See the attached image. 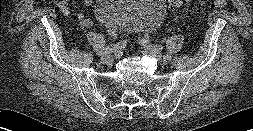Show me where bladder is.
<instances>
[{
  "label": "bladder",
  "mask_w": 253,
  "mask_h": 131,
  "mask_svg": "<svg viewBox=\"0 0 253 131\" xmlns=\"http://www.w3.org/2000/svg\"><path fill=\"white\" fill-rule=\"evenodd\" d=\"M166 13L162 0H97L98 20L114 31H151Z\"/></svg>",
  "instance_id": "1"
}]
</instances>
